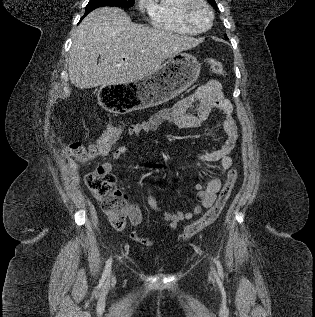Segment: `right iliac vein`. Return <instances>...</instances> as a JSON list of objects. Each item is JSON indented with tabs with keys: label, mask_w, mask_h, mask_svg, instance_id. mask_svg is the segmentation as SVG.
I'll use <instances>...</instances> for the list:
<instances>
[{
	"label": "right iliac vein",
	"mask_w": 315,
	"mask_h": 317,
	"mask_svg": "<svg viewBox=\"0 0 315 317\" xmlns=\"http://www.w3.org/2000/svg\"><path fill=\"white\" fill-rule=\"evenodd\" d=\"M110 280H114V276L113 275L110 277Z\"/></svg>",
	"instance_id": "63e3f726"
}]
</instances>
